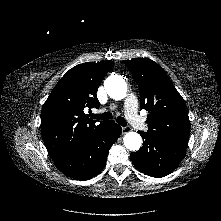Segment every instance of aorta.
Masks as SVG:
<instances>
[{
	"instance_id": "1",
	"label": "aorta",
	"mask_w": 221,
	"mask_h": 221,
	"mask_svg": "<svg viewBox=\"0 0 221 221\" xmlns=\"http://www.w3.org/2000/svg\"><path fill=\"white\" fill-rule=\"evenodd\" d=\"M104 87L107 94L115 100H121L125 97L127 92V83L119 75L108 77L104 81ZM124 145L131 151H137L142 144L141 136L136 132H128L123 138Z\"/></svg>"
}]
</instances>
